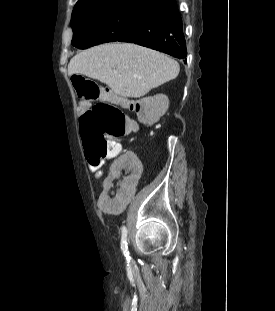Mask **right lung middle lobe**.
<instances>
[{"instance_id": "obj_1", "label": "right lung middle lobe", "mask_w": 275, "mask_h": 311, "mask_svg": "<svg viewBox=\"0 0 275 311\" xmlns=\"http://www.w3.org/2000/svg\"><path fill=\"white\" fill-rule=\"evenodd\" d=\"M161 4L154 0H83L71 19L72 45L86 49L117 41L139 19Z\"/></svg>"}]
</instances>
